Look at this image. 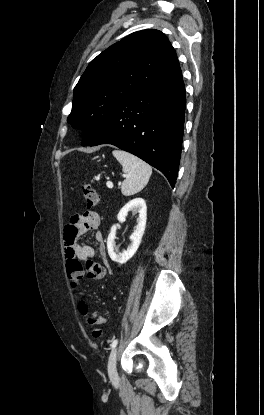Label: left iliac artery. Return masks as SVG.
Returning <instances> with one entry per match:
<instances>
[{"label":"left iliac artery","mask_w":264,"mask_h":415,"mask_svg":"<svg viewBox=\"0 0 264 415\" xmlns=\"http://www.w3.org/2000/svg\"><path fill=\"white\" fill-rule=\"evenodd\" d=\"M117 343H118V340H117V339H115V340L111 343V348H115V347H116V345H117Z\"/></svg>","instance_id":"44dca946"}]
</instances>
